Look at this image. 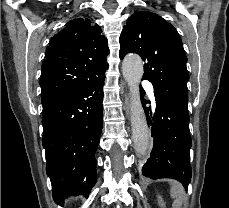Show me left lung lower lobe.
Listing matches in <instances>:
<instances>
[{
  "label": "left lung lower lobe",
  "instance_id": "left-lung-lower-lobe-1",
  "mask_svg": "<svg viewBox=\"0 0 229 208\" xmlns=\"http://www.w3.org/2000/svg\"><path fill=\"white\" fill-rule=\"evenodd\" d=\"M156 109L153 116V149L150 158L142 167L145 177L150 179L173 178L187 189L191 182L190 148L192 145L189 131V113L172 107L157 92H154ZM149 102V101H148ZM143 100V106L148 103ZM145 108L146 116L151 114ZM147 121L151 124L150 116Z\"/></svg>",
  "mask_w": 229,
  "mask_h": 208
}]
</instances>
